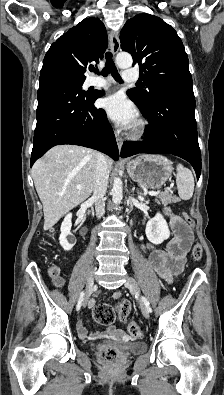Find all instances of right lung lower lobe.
<instances>
[{"label":"right lung lower lobe","instance_id":"98d812e1","mask_svg":"<svg viewBox=\"0 0 224 395\" xmlns=\"http://www.w3.org/2000/svg\"><path fill=\"white\" fill-rule=\"evenodd\" d=\"M102 92L81 93L67 82L40 75L31 166L55 145H81L119 158L113 130L104 110L94 106Z\"/></svg>","mask_w":224,"mask_h":395}]
</instances>
